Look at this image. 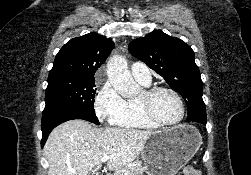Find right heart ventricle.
<instances>
[{"instance_id":"obj_1","label":"right heart ventricle","mask_w":251,"mask_h":175,"mask_svg":"<svg viewBox=\"0 0 251 175\" xmlns=\"http://www.w3.org/2000/svg\"><path fill=\"white\" fill-rule=\"evenodd\" d=\"M117 125L125 128H141L148 130L156 128L154 124H152L145 116H143L140 113L137 107V101L127 102L126 113L122 117V119L117 123Z\"/></svg>"}]
</instances>
